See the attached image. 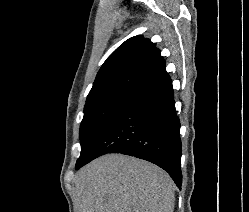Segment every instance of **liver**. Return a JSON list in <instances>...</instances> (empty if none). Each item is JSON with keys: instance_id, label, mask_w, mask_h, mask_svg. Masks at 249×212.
Listing matches in <instances>:
<instances>
[{"instance_id": "liver-1", "label": "liver", "mask_w": 249, "mask_h": 212, "mask_svg": "<svg viewBox=\"0 0 249 212\" xmlns=\"http://www.w3.org/2000/svg\"><path fill=\"white\" fill-rule=\"evenodd\" d=\"M77 212H174V184L150 162L106 154L77 172Z\"/></svg>"}]
</instances>
